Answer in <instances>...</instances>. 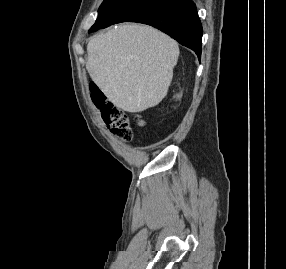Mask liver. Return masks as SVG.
Masks as SVG:
<instances>
[{
    "instance_id": "obj_1",
    "label": "liver",
    "mask_w": 286,
    "mask_h": 269,
    "mask_svg": "<svg viewBox=\"0 0 286 269\" xmlns=\"http://www.w3.org/2000/svg\"><path fill=\"white\" fill-rule=\"evenodd\" d=\"M87 54L92 81L116 107L135 113L166 96L179 47L153 27L125 23L91 39Z\"/></svg>"
}]
</instances>
